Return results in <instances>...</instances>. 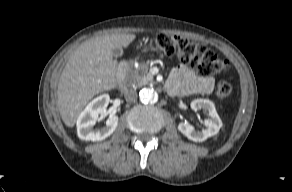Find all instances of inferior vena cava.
Returning a JSON list of instances; mask_svg holds the SVG:
<instances>
[{
    "instance_id": "inferior-vena-cava-1",
    "label": "inferior vena cava",
    "mask_w": 292,
    "mask_h": 192,
    "mask_svg": "<svg viewBox=\"0 0 292 192\" xmlns=\"http://www.w3.org/2000/svg\"><path fill=\"white\" fill-rule=\"evenodd\" d=\"M124 97L128 102H136L137 101V92L134 89H127L124 93Z\"/></svg>"
}]
</instances>
